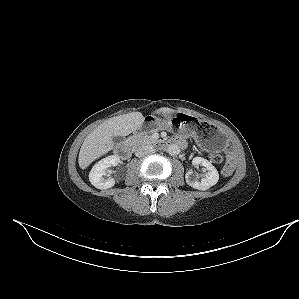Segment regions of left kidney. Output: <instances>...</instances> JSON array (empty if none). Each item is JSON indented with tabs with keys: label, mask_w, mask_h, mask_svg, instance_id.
Instances as JSON below:
<instances>
[{
	"label": "left kidney",
	"mask_w": 299,
	"mask_h": 299,
	"mask_svg": "<svg viewBox=\"0 0 299 299\" xmlns=\"http://www.w3.org/2000/svg\"><path fill=\"white\" fill-rule=\"evenodd\" d=\"M194 166L202 165L206 168L207 173L202 177L201 181L193 174L192 170L186 172L185 178L188 185L198 190H207L214 186L219 180V174L216 168L207 160L202 157H195L192 160Z\"/></svg>",
	"instance_id": "1"
}]
</instances>
